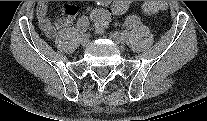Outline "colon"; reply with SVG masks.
<instances>
[{"label":"colon","instance_id":"colon-1","mask_svg":"<svg viewBox=\"0 0 207 121\" xmlns=\"http://www.w3.org/2000/svg\"><path fill=\"white\" fill-rule=\"evenodd\" d=\"M127 3H122L117 6L118 9H125ZM166 8V3L163 1H146L142 5L143 12L148 15H154ZM114 8L112 6H102L95 8L91 12V18L98 30L106 27L114 16Z\"/></svg>","mask_w":207,"mask_h":121}]
</instances>
